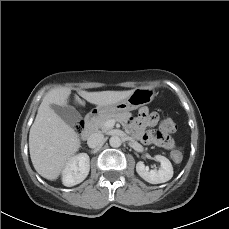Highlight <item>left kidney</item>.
Listing matches in <instances>:
<instances>
[{
  "label": "left kidney",
  "mask_w": 229,
  "mask_h": 229,
  "mask_svg": "<svg viewBox=\"0 0 229 229\" xmlns=\"http://www.w3.org/2000/svg\"><path fill=\"white\" fill-rule=\"evenodd\" d=\"M154 159L160 162L158 170H149L141 161L136 164V171L141 178L151 184H159L169 181L173 177V167L169 159L162 155H156Z\"/></svg>",
  "instance_id": "obj_1"
}]
</instances>
